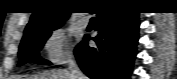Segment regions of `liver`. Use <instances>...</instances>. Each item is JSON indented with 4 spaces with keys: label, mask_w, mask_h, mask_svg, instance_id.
<instances>
[{
    "label": "liver",
    "mask_w": 177,
    "mask_h": 79,
    "mask_svg": "<svg viewBox=\"0 0 177 79\" xmlns=\"http://www.w3.org/2000/svg\"><path fill=\"white\" fill-rule=\"evenodd\" d=\"M24 79H71L66 69H55L40 74L26 76Z\"/></svg>",
    "instance_id": "1"
}]
</instances>
